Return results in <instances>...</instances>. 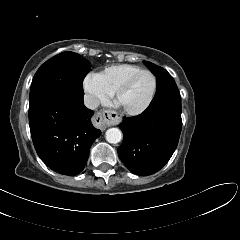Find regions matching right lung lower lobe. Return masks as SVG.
Instances as JSON below:
<instances>
[{"instance_id":"1","label":"right lung lower lobe","mask_w":240,"mask_h":240,"mask_svg":"<svg viewBox=\"0 0 240 240\" xmlns=\"http://www.w3.org/2000/svg\"><path fill=\"white\" fill-rule=\"evenodd\" d=\"M83 95L54 94L29 108L32 140L40 159L53 171L74 176L85 167L91 144L101 131Z\"/></svg>"}]
</instances>
